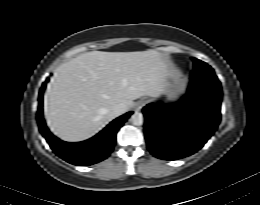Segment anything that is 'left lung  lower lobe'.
<instances>
[{
    "label": "left lung lower lobe",
    "mask_w": 260,
    "mask_h": 205,
    "mask_svg": "<svg viewBox=\"0 0 260 205\" xmlns=\"http://www.w3.org/2000/svg\"><path fill=\"white\" fill-rule=\"evenodd\" d=\"M221 84L190 77L187 95L174 105L143 108L147 147L157 158L177 160L197 152L220 122Z\"/></svg>",
    "instance_id": "0a47b994"
}]
</instances>
